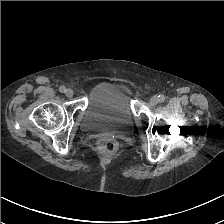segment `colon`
Instances as JSON below:
<instances>
[{
  "instance_id": "obj_1",
  "label": "colon",
  "mask_w": 224,
  "mask_h": 224,
  "mask_svg": "<svg viewBox=\"0 0 224 224\" xmlns=\"http://www.w3.org/2000/svg\"><path fill=\"white\" fill-rule=\"evenodd\" d=\"M99 147L105 152H114L117 149V143L112 139H101Z\"/></svg>"
}]
</instances>
